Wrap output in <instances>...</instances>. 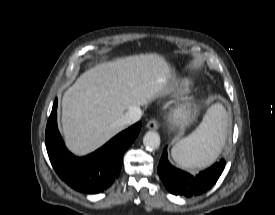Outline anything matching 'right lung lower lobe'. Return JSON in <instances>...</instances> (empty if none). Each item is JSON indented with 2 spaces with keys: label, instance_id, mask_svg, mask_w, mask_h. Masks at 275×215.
Listing matches in <instances>:
<instances>
[{
  "label": "right lung lower lobe",
  "instance_id": "98d812e1",
  "mask_svg": "<svg viewBox=\"0 0 275 215\" xmlns=\"http://www.w3.org/2000/svg\"><path fill=\"white\" fill-rule=\"evenodd\" d=\"M57 99L47 122L45 141L51 164L58 176L73 189L83 193H99L118 176L125 150L141 129L138 122L122 131L103 147L85 157H76L65 147L57 128Z\"/></svg>",
  "mask_w": 275,
  "mask_h": 215
}]
</instances>
